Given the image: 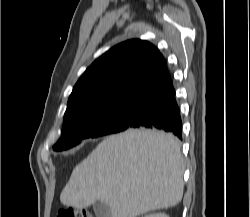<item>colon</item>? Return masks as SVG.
<instances>
[{"label": "colon", "instance_id": "1", "mask_svg": "<svg viewBox=\"0 0 250 217\" xmlns=\"http://www.w3.org/2000/svg\"><path fill=\"white\" fill-rule=\"evenodd\" d=\"M56 217H92V215L85 209L65 208L60 210Z\"/></svg>", "mask_w": 250, "mask_h": 217}]
</instances>
